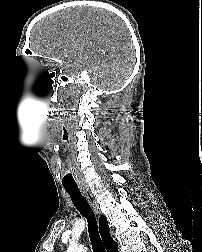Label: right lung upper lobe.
I'll return each mask as SVG.
<instances>
[{"label":"right lung upper lobe","mask_w":202,"mask_h":252,"mask_svg":"<svg viewBox=\"0 0 202 252\" xmlns=\"http://www.w3.org/2000/svg\"><path fill=\"white\" fill-rule=\"evenodd\" d=\"M99 231L102 236V240L105 248L108 252H118L117 243L113 241L110 237V228L108 226L107 219L104 215H101L99 218Z\"/></svg>","instance_id":"right-lung-upper-lobe-1"}]
</instances>
